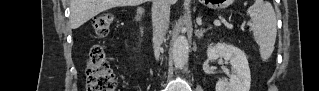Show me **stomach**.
<instances>
[{
  "mask_svg": "<svg viewBox=\"0 0 319 91\" xmlns=\"http://www.w3.org/2000/svg\"><path fill=\"white\" fill-rule=\"evenodd\" d=\"M208 6H210L211 8L217 9V8H223L225 4H224V1H212V3H208Z\"/></svg>",
  "mask_w": 319,
  "mask_h": 91,
  "instance_id": "obj_1",
  "label": "stomach"
}]
</instances>
